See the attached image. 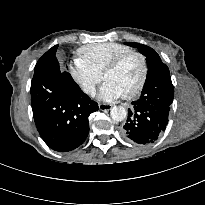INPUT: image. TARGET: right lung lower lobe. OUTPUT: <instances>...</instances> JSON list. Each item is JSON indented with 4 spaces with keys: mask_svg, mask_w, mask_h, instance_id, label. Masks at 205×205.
<instances>
[{
    "mask_svg": "<svg viewBox=\"0 0 205 205\" xmlns=\"http://www.w3.org/2000/svg\"><path fill=\"white\" fill-rule=\"evenodd\" d=\"M58 45L37 62L31 82V104L37 130L53 150L67 152L88 136V117L98 104L83 93L68 72H61L56 59Z\"/></svg>",
    "mask_w": 205,
    "mask_h": 205,
    "instance_id": "1",
    "label": "right lung lower lobe"
}]
</instances>
